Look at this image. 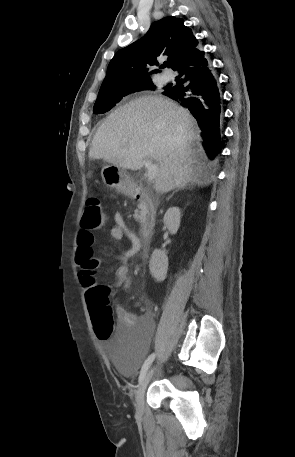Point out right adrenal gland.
Segmentation results:
<instances>
[{"label":"right adrenal gland","mask_w":295,"mask_h":457,"mask_svg":"<svg viewBox=\"0 0 295 457\" xmlns=\"http://www.w3.org/2000/svg\"><path fill=\"white\" fill-rule=\"evenodd\" d=\"M193 186H194V184H191V185H189L188 187H187V186H183V187L178 188L175 192L179 191L180 189H186V188L192 189ZM175 192H173V194H174ZM173 194L170 195V196L167 198V200H169V199L173 196Z\"/></svg>","instance_id":"right-adrenal-gland-1"}]
</instances>
